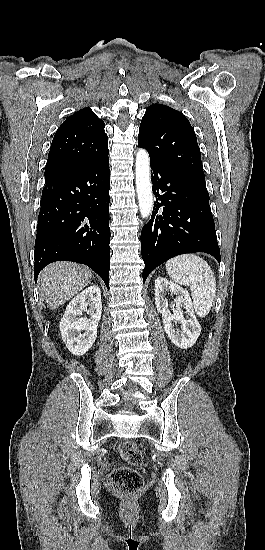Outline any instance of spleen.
Masks as SVG:
<instances>
[{
    "label": "spleen",
    "mask_w": 265,
    "mask_h": 550,
    "mask_svg": "<svg viewBox=\"0 0 265 550\" xmlns=\"http://www.w3.org/2000/svg\"><path fill=\"white\" fill-rule=\"evenodd\" d=\"M166 270L173 281L190 286L197 315L207 316L216 293V278L208 263L197 255L186 254L167 261Z\"/></svg>",
    "instance_id": "obj_1"
}]
</instances>
